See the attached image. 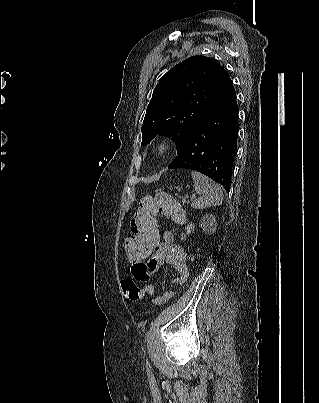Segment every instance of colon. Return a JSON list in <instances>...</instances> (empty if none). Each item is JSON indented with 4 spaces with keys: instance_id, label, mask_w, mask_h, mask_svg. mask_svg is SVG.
<instances>
[{
    "instance_id": "colon-1",
    "label": "colon",
    "mask_w": 319,
    "mask_h": 403,
    "mask_svg": "<svg viewBox=\"0 0 319 403\" xmlns=\"http://www.w3.org/2000/svg\"><path fill=\"white\" fill-rule=\"evenodd\" d=\"M161 214L172 220H179L182 210L176 199L163 192L141 199L130 220L132 229L130 236L125 238L124 254L127 264H135L140 259L150 263L152 251L159 244L162 222L158 221L157 216ZM129 277L124 276L121 284L129 305H134L137 301L154 292L152 285L140 287V283L130 282Z\"/></svg>"
}]
</instances>
